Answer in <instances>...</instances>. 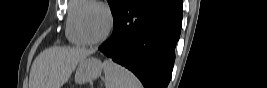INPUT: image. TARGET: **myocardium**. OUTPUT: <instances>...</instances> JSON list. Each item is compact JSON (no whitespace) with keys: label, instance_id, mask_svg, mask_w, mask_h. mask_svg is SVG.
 Listing matches in <instances>:
<instances>
[{"label":"myocardium","instance_id":"obj_1","mask_svg":"<svg viewBox=\"0 0 267 88\" xmlns=\"http://www.w3.org/2000/svg\"><path fill=\"white\" fill-rule=\"evenodd\" d=\"M93 7L102 9L107 16L106 30H105L104 34L101 37H99L98 39H90L87 36V34L84 30V27H83L84 14L89 8H93ZM113 24H114V18H113V14L111 12V9L106 4H104L102 2H97V1H93L89 6H87L85 9H83L82 12L79 14L78 20H77V26H78V31L80 33V36L87 44H91V45L100 44L103 41H105L112 31Z\"/></svg>","mask_w":267,"mask_h":88}]
</instances>
